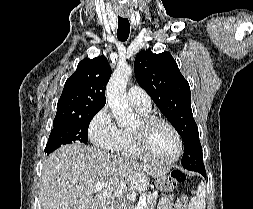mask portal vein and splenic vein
Returning a JSON list of instances; mask_svg holds the SVG:
<instances>
[{
  "mask_svg": "<svg viewBox=\"0 0 253 209\" xmlns=\"http://www.w3.org/2000/svg\"><path fill=\"white\" fill-rule=\"evenodd\" d=\"M105 183L104 182H97L95 185H94V192H98L99 190H101L102 188L105 187ZM146 204V196H141L140 199H139V202L136 206L135 209H142L143 206Z\"/></svg>",
  "mask_w": 253,
  "mask_h": 209,
  "instance_id": "18ae733b",
  "label": "portal vein and splenic vein"
}]
</instances>
